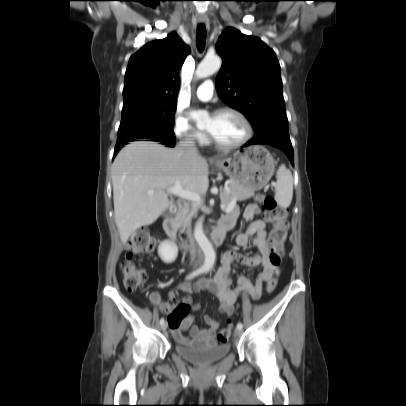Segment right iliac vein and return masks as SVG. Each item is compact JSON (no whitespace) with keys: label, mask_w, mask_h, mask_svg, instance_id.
Instances as JSON below:
<instances>
[{"label":"right iliac vein","mask_w":406,"mask_h":406,"mask_svg":"<svg viewBox=\"0 0 406 406\" xmlns=\"http://www.w3.org/2000/svg\"><path fill=\"white\" fill-rule=\"evenodd\" d=\"M161 329H162L163 331H165V330L167 329V323H166V322H164V323L161 325Z\"/></svg>","instance_id":"obj_1"}]
</instances>
